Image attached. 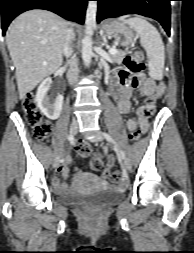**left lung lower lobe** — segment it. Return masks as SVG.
<instances>
[{"label":"left lung lower lobe","mask_w":194,"mask_h":253,"mask_svg":"<svg viewBox=\"0 0 194 253\" xmlns=\"http://www.w3.org/2000/svg\"><path fill=\"white\" fill-rule=\"evenodd\" d=\"M97 21L125 14H140L160 22L170 35L171 0H97Z\"/></svg>","instance_id":"obj_1"}]
</instances>
